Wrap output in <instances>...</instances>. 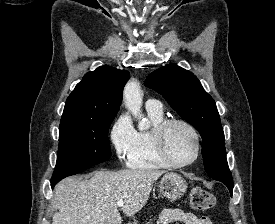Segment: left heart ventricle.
<instances>
[{
    "instance_id": "b2bd125f",
    "label": "left heart ventricle",
    "mask_w": 275,
    "mask_h": 224,
    "mask_svg": "<svg viewBox=\"0 0 275 224\" xmlns=\"http://www.w3.org/2000/svg\"><path fill=\"white\" fill-rule=\"evenodd\" d=\"M165 144L169 156L178 163L189 161L195 152V142L191 132L179 124L169 127Z\"/></svg>"
}]
</instances>
